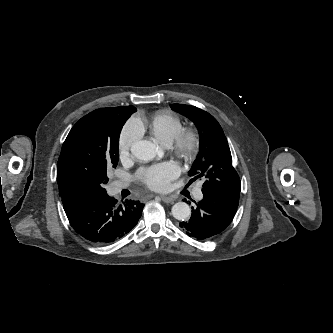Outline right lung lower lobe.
Segmentation results:
<instances>
[{"mask_svg": "<svg viewBox=\"0 0 333 333\" xmlns=\"http://www.w3.org/2000/svg\"><path fill=\"white\" fill-rule=\"evenodd\" d=\"M73 229L85 240L99 245L109 244L128 234L141 217L144 204L117 200L108 195L64 204Z\"/></svg>", "mask_w": 333, "mask_h": 333, "instance_id": "1", "label": "right lung lower lobe"}]
</instances>
